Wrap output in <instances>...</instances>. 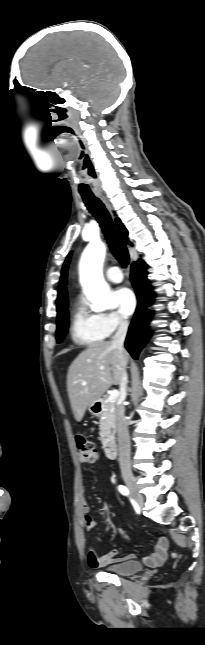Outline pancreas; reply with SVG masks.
I'll use <instances>...</instances> for the list:
<instances>
[{
    "label": "pancreas",
    "instance_id": "cf45deb5",
    "mask_svg": "<svg viewBox=\"0 0 205 645\" xmlns=\"http://www.w3.org/2000/svg\"><path fill=\"white\" fill-rule=\"evenodd\" d=\"M100 441L103 445L115 438V403L105 400L104 410L100 415Z\"/></svg>",
    "mask_w": 205,
    "mask_h": 645
}]
</instances>
